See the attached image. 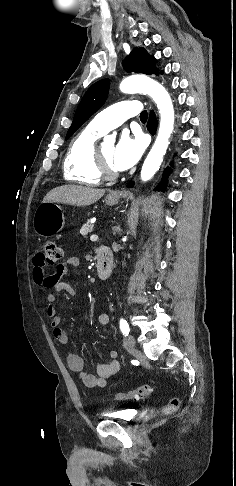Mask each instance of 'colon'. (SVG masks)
<instances>
[{
  "label": "colon",
  "mask_w": 236,
  "mask_h": 486,
  "mask_svg": "<svg viewBox=\"0 0 236 486\" xmlns=\"http://www.w3.org/2000/svg\"><path fill=\"white\" fill-rule=\"evenodd\" d=\"M42 259L46 264L56 263L62 256V250L59 245L54 242L48 241L43 245V250L41 253ZM153 387L150 385H141L133 390L117 393L116 398L119 400L137 399L145 398L152 394ZM180 406L179 398H172L163 408L162 412L164 414H171L175 412Z\"/></svg>",
  "instance_id": "5ec220e1"
}]
</instances>
